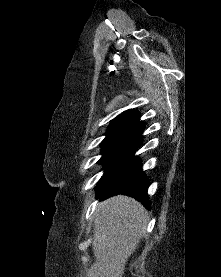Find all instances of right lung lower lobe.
Masks as SVG:
<instances>
[{"label": "right lung lower lobe", "instance_id": "1", "mask_svg": "<svg viewBox=\"0 0 221 277\" xmlns=\"http://www.w3.org/2000/svg\"><path fill=\"white\" fill-rule=\"evenodd\" d=\"M149 182L142 172L140 161L132 154L116 171L101 178L96 186L98 197L106 199L124 194L134 197L150 208L147 189Z\"/></svg>", "mask_w": 221, "mask_h": 277}]
</instances>
